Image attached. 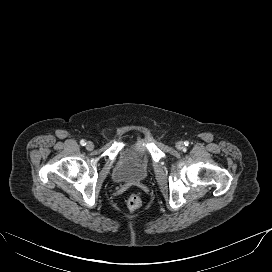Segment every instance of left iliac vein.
<instances>
[{
  "instance_id": "obj_1",
  "label": "left iliac vein",
  "mask_w": 272,
  "mask_h": 272,
  "mask_svg": "<svg viewBox=\"0 0 272 272\" xmlns=\"http://www.w3.org/2000/svg\"><path fill=\"white\" fill-rule=\"evenodd\" d=\"M176 148L182 150L184 148V143L182 141H178L176 143Z\"/></svg>"
}]
</instances>
